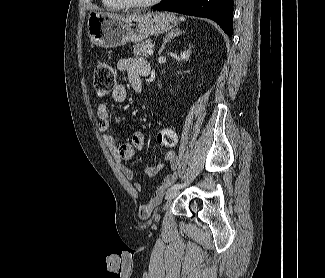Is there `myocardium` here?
<instances>
[{"label": "myocardium", "instance_id": "myocardium-1", "mask_svg": "<svg viewBox=\"0 0 325 278\" xmlns=\"http://www.w3.org/2000/svg\"><path fill=\"white\" fill-rule=\"evenodd\" d=\"M160 0H146V1H133V0H116L117 3L126 8H146L157 4Z\"/></svg>", "mask_w": 325, "mask_h": 278}]
</instances>
